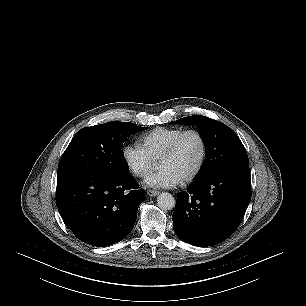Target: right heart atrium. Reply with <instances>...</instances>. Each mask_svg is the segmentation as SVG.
<instances>
[{"mask_svg": "<svg viewBox=\"0 0 306 306\" xmlns=\"http://www.w3.org/2000/svg\"><path fill=\"white\" fill-rule=\"evenodd\" d=\"M122 157L128 170L138 178L147 177L156 162L146 149L139 144H128L123 148Z\"/></svg>", "mask_w": 306, "mask_h": 306, "instance_id": "1", "label": "right heart atrium"}]
</instances>
